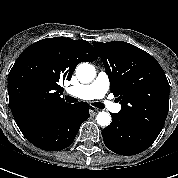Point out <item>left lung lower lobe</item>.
I'll return each instance as SVG.
<instances>
[{
  "instance_id": "1",
  "label": "left lung lower lobe",
  "mask_w": 178,
  "mask_h": 178,
  "mask_svg": "<svg viewBox=\"0 0 178 178\" xmlns=\"http://www.w3.org/2000/svg\"><path fill=\"white\" fill-rule=\"evenodd\" d=\"M112 123L102 131L105 145L120 155H134L149 148L159 132L136 124L119 114H111Z\"/></svg>"
}]
</instances>
